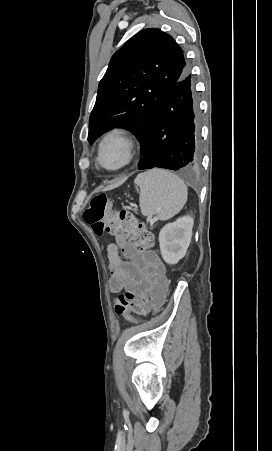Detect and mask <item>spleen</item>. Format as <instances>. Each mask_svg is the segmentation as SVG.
I'll list each match as a JSON object with an SVG mask.
<instances>
[{
	"mask_svg": "<svg viewBox=\"0 0 272 451\" xmlns=\"http://www.w3.org/2000/svg\"><path fill=\"white\" fill-rule=\"evenodd\" d=\"M134 182L140 188L139 202L143 216L157 214L159 220H170L187 202V186L167 170L153 168L138 174Z\"/></svg>",
	"mask_w": 272,
	"mask_h": 451,
	"instance_id": "spleen-1",
	"label": "spleen"
}]
</instances>
